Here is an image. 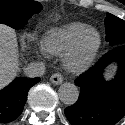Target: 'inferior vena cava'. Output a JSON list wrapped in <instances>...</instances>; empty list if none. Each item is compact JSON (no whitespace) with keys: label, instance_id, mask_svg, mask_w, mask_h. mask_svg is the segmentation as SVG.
<instances>
[{"label":"inferior vena cava","instance_id":"obj_1","mask_svg":"<svg viewBox=\"0 0 125 125\" xmlns=\"http://www.w3.org/2000/svg\"><path fill=\"white\" fill-rule=\"evenodd\" d=\"M24 73L30 78L43 76L45 73V64L43 62H31L25 68Z\"/></svg>","mask_w":125,"mask_h":125}]
</instances>
